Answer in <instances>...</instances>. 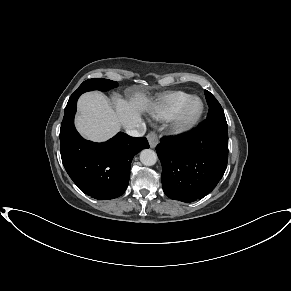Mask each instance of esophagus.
I'll list each match as a JSON object with an SVG mask.
<instances>
[{"instance_id": "esophagus-1", "label": "esophagus", "mask_w": 291, "mask_h": 291, "mask_svg": "<svg viewBox=\"0 0 291 291\" xmlns=\"http://www.w3.org/2000/svg\"><path fill=\"white\" fill-rule=\"evenodd\" d=\"M148 142L151 148H155L159 142L158 136L155 132H151L147 135Z\"/></svg>"}]
</instances>
